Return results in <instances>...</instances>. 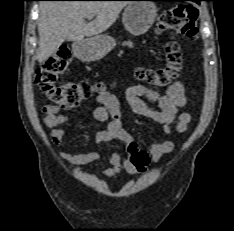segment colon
<instances>
[{
	"label": "colon",
	"mask_w": 234,
	"mask_h": 231,
	"mask_svg": "<svg viewBox=\"0 0 234 231\" xmlns=\"http://www.w3.org/2000/svg\"><path fill=\"white\" fill-rule=\"evenodd\" d=\"M197 9L190 4H179L165 10L159 17L160 31H178L189 39H195L198 34ZM71 61L68 49L60 50L50 57L36 72L35 81L45 95L59 109H72L91 98L99 91V86L87 81L66 82L56 85L58 77L63 74ZM182 69V55L176 42L166 45L165 65L158 69L137 70V77L159 87L171 85ZM131 164L138 170H144L149 161L148 154L140 149L135 142L127 147Z\"/></svg>",
	"instance_id": "obj_1"
}]
</instances>
